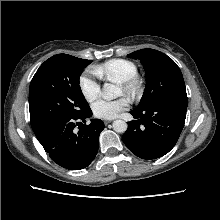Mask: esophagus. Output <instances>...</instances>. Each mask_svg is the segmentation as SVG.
I'll use <instances>...</instances> for the list:
<instances>
[{
    "mask_svg": "<svg viewBox=\"0 0 220 220\" xmlns=\"http://www.w3.org/2000/svg\"><path fill=\"white\" fill-rule=\"evenodd\" d=\"M112 121L111 120H104V124L107 125L109 123H111Z\"/></svg>",
    "mask_w": 220,
    "mask_h": 220,
    "instance_id": "obj_1",
    "label": "esophagus"
}]
</instances>
